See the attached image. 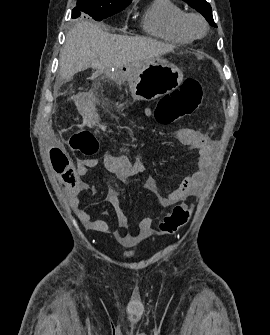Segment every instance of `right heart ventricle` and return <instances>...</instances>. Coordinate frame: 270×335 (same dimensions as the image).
<instances>
[{
    "mask_svg": "<svg viewBox=\"0 0 270 335\" xmlns=\"http://www.w3.org/2000/svg\"><path fill=\"white\" fill-rule=\"evenodd\" d=\"M184 16V9L172 0H155L143 13L141 25L150 36L173 44H189L194 38L183 29Z\"/></svg>",
    "mask_w": 270,
    "mask_h": 335,
    "instance_id": "e07e8e85",
    "label": "right heart ventricle"
}]
</instances>
